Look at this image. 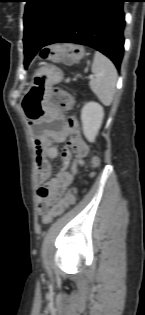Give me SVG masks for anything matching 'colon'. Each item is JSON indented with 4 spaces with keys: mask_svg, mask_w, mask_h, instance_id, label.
Returning a JSON list of instances; mask_svg holds the SVG:
<instances>
[{
    "mask_svg": "<svg viewBox=\"0 0 145 315\" xmlns=\"http://www.w3.org/2000/svg\"><path fill=\"white\" fill-rule=\"evenodd\" d=\"M82 49L74 45H56L44 48L40 57L43 60L52 62L71 63L78 61L82 57ZM54 104L61 109H70L73 100L71 95L62 89H55L52 95ZM99 159L93 156L90 161L91 168L97 167ZM75 202L74 192L67 193L59 202H57L47 214V222H52L55 218L62 215L65 210Z\"/></svg>",
    "mask_w": 145,
    "mask_h": 315,
    "instance_id": "5ec220e1",
    "label": "colon"
}]
</instances>
